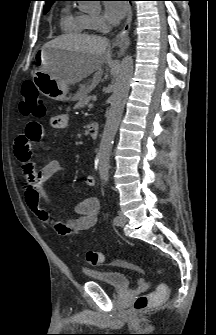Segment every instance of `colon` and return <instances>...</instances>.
<instances>
[{
	"label": "colon",
	"instance_id": "1",
	"mask_svg": "<svg viewBox=\"0 0 216 335\" xmlns=\"http://www.w3.org/2000/svg\"><path fill=\"white\" fill-rule=\"evenodd\" d=\"M20 110L25 116L43 117L46 106L41 99L37 88L31 81H25L22 86V101ZM28 136V135H26ZM85 260L92 266H99L104 261L101 252L86 250ZM168 295V288L164 285L158 287L154 292L139 296L134 303L135 311H143L162 302Z\"/></svg>",
	"mask_w": 216,
	"mask_h": 335
}]
</instances>
